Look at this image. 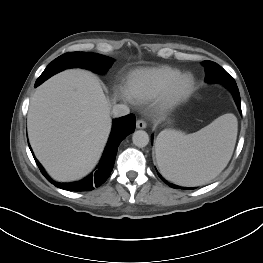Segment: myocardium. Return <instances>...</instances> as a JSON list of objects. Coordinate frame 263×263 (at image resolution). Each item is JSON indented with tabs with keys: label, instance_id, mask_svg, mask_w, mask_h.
Masks as SVG:
<instances>
[{
	"label": "myocardium",
	"instance_id": "obj_1",
	"mask_svg": "<svg viewBox=\"0 0 263 263\" xmlns=\"http://www.w3.org/2000/svg\"><path fill=\"white\" fill-rule=\"evenodd\" d=\"M195 77L191 73H181L171 80L157 96V106L160 110H169L186 101L194 92Z\"/></svg>",
	"mask_w": 263,
	"mask_h": 263
}]
</instances>
